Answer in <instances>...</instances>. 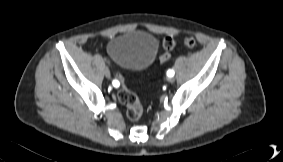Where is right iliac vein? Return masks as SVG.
<instances>
[{
  "label": "right iliac vein",
  "mask_w": 283,
  "mask_h": 162,
  "mask_svg": "<svg viewBox=\"0 0 283 162\" xmlns=\"http://www.w3.org/2000/svg\"><path fill=\"white\" fill-rule=\"evenodd\" d=\"M104 74H105V76L107 77V78H110V71H109V69H105L104 70Z\"/></svg>",
  "instance_id": "1"
}]
</instances>
